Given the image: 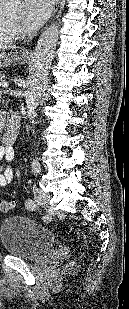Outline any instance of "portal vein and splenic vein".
I'll return each mask as SVG.
<instances>
[{"mask_svg": "<svg viewBox=\"0 0 129 309\" xmlns=\"http://www.w3.org/2000/svg\"><path fill=\"white\" fill-rule=\"evenodd\" d=\"M0 86H3V87H8V83H7V82H5V81H3V82H1V83H0Z\"/></svg>", "mask_w": 129, "mask_h": 309, "instance_id": "obj_1", "label": "portal vein and splenic vein"}]
</instances>
